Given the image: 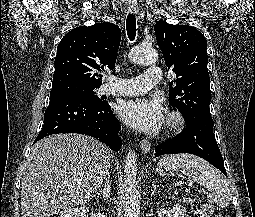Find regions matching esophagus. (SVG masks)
I'll use <instances>...</instances> for the list:
<instances>
[{
  "mask_svg": "<svg viewBox=\"0 0 255 217\" xmlns=\"http://www.w3.org/2000/svg\"><path fill=\"white\" fill-rule=\"evenodd\" d=\"M128 12L130 14H137L139 12L138 4L136 2L129 3ZM140 148L143 153H148L151 149V143L147 139H142L140 141Z\"/></svg>",
  "mask_w": 255,
  "mask_h": 217,
  "instance_id": "1",
  "label": "esophagus"
}]
</instances>
